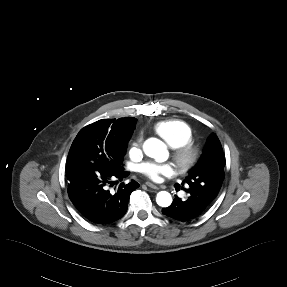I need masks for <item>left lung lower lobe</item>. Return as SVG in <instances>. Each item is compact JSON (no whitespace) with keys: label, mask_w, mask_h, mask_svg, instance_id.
Segmentation results:
<instances>
[{"label":"left lung lower lobe","mask_w":287,"mask_h":287,"mask_svg":"<svg viewBox=\"0 0 287 287\" xmlns=\"http://www.w3.org/2000/svg\"><path fill=\"white\" fill-rule=\"evenodd\" d=\"M176 187L179 188V185L176 184ZM185 190L188 196L185 199L176 197L169 207L162 209L163 214L176 220L187 221L201 215L212 203L188 189Z\"/></svg>","instance_id":"left-lung-lower-lobe-1"}]
</instances>
